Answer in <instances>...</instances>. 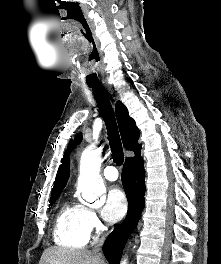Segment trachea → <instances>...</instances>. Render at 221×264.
<instances>
[{
	"label": "trachea",
	"instance_id": "3493384b",
	"mask_svg": "<svg viewBox=\"0 0 221 264\" xmlns=\"http://www.w3.org/2000/svg\"><path fill=\"white\" fill-rule=\"evenodd\" d=\"M92 88L100 113L107 127L108 140L111 147L112 158L117 166L124 161V153L120 140L116 118L109 97L102 85H89Z\"/></svg>",
	"mask_w": 221,
	"mask_h": 264
}]
</instances>
